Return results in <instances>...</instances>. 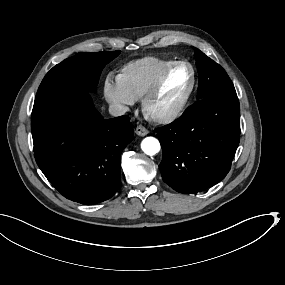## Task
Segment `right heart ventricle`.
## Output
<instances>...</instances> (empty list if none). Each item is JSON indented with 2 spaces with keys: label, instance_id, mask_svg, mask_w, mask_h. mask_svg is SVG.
Instances as JSON below:
<instances>
[{
  "label": "right heart ventricle",
  "instance_id": "e07e8e85",
  "mask_svg": "<svg viewBox=\"0 0 285 285\" xmlns=\"http://www.w3.org/2000/svg\"><path fill=\"white\" fill-rule=\"evenodd\" d=\"M169 68L170 62L156 57L139 59L130 65L123 87L135 99L140 98Z\"/></svg>",
  "mask_w": 285,
  "mask_h": 285
}]
</instances>
